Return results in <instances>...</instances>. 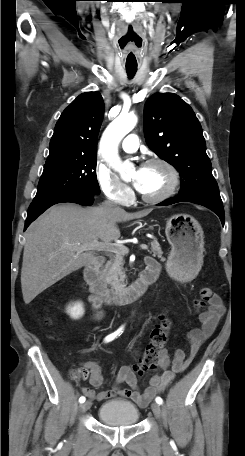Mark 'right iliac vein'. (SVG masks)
Wrapping results in <instances>:
<instances>
[{"label":"right iliac vein","mask_w":245,"mask_h":456,"mask_svg":"<svg viewBox=\"0 0 245 456\" xmlns=\"http://www.w3.org/2000/svg\"><path fill=\"white\" fill-rule=\"evenodd\" d=\"M92 403L90 401H86L80 405V411L85 412L91 407Z\"/></svg>","instance_id":"63e3f726"}]
</instances>
